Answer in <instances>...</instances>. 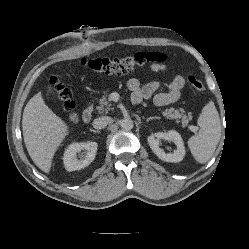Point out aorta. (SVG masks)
Segmentation results:
<instances>
[{
	"label": "aorta",
	"instance_id": "1",
	"mask_svg": "<svg viewBox=\"0 0 249 249\" xmlns=\"http://www.w3.org/2000/svg\"><path fill=\"white\" fill-rule=\"evenodd\" d=\"M120 126L123 130L129 131L133 128L134 124L130 118H125L120 122Z\"/></svg>",
	"mask_w": 249,
	"mask_h": 249
}]
</instances>
